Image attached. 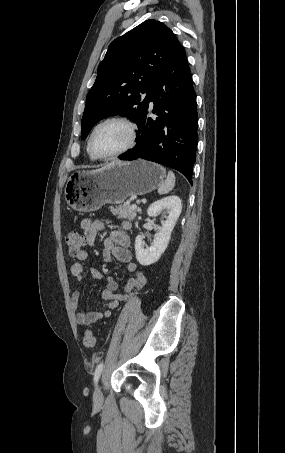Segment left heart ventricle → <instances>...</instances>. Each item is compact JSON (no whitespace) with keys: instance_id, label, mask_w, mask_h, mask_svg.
<instances>
[{"instance_id":"b2bd125f","label":"left heart ventricle","mask_w":285,"mask_h":453,"mask_svg":"<svg viewBox=\"0 0 285 453\" xmlns=\"http://www.w3.org/2000/svg\"><path fill=\"white\" fill-rule=\"evenodd\" d=\"M130 139L126 125L110 122L101 126L93 139V147L99 155H109L125 147Z\"/></svg>"}]
</instances>
